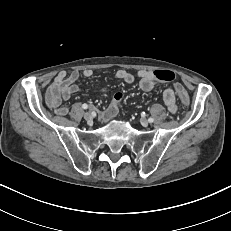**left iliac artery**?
<instances>
[{
	"mask_svg": "<svg viewBox=\"0 0 231 231\" xmlns=\"http://www.w3.org/2000/svg\"><path fill=\"white\" fill-rule=\"evenodd\" d=\"M148 121H149L150 123H152V122L154 121V119L150 117V118L148 119Z\"/></svg>",
	"mask_w": 231,
	"mask_h": 231,
	"instance_id": "44dca946",
	"label": "left iliac artery"
}]
</instances>
